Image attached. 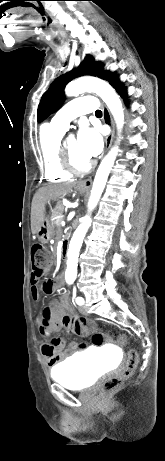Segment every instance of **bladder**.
Wrapping results in <instances>:
<instances>
[{"label":"bladder","instance_id":"31cf9c89","mask_svg":"<svg viewBox=\"0 0 165 461\" xmlns=\"http://www.w3.org/2000/svg\"><path fill=\"white\" fill-rule=\"evenodd\" d=\"M106 370V362L97 353H79L55 365L51 377L68 389L82 390L91 387Z\"/></svg>","mask_w":165,"mask_h":461}]
</instances>
